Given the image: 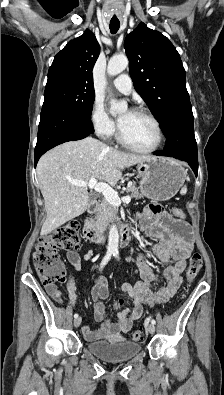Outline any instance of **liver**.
Wrapping results in <instances>:
<instances>
[{
    "label": "liver",
    "instance_id": "6515ba94",
    "mask_svg": "<svg viewBox=\"0 0 224 395\" xmlns=\"http://www.w3.org/2000/svg\"><path fill=\"white\" fill-rule=\"evenodd\" d=\"M148 158L108 147L92 137L64 143L45 153L36 168L47 213L41 235L49 234L87 209V189L71 184L70 180L97 179L114 186L126 167Z\"/></svg>",
    "mask_w": 224,
    "mask_h": 395
}]
</instances>
